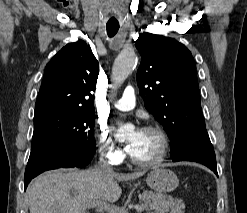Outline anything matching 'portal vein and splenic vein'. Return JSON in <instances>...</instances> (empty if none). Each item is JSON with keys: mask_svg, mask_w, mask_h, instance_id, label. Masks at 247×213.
<instances>
[{"mask_svg": "<svg viewBox=\"0 0 247 213\" xmlns=\"http://www.w3.org/2000/svg\"><path fill=\"white\" fill-rule=\"evenodd\" d=\"M91 206L99 208V209L104 210V211H107L108 213H127V210H125L124 208L117 207V206L111 205V204H109L107 202H103V201L93 202ZM145 208H146V205L141 204V205L137 206L136 210H137V212H141Z\"/></svg>", "mask_w": 247, "mask_h": 213, "instance_id": "1", "label": "portal vein and splenic vein"}]
</instances>
